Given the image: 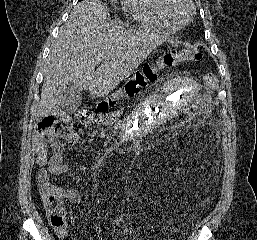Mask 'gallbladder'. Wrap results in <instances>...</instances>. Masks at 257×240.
<instances>
[{
    "label": "gallbladder",
    "instance_id": "gallbladder-1",
    "mask_svg": "<svg viewBox=\"0 0 257 240\" xmlns=\"http://www.w3.org/2000/svg\"><path fill=\"white\" fill-rule=\"evenodd\" d=\"M82 95L75 85L69 82L66 85L63 99L60 104V110L65 113H73L81 105Z\"/></svg>",
    "mask_w": 257,
    "mask_h": 240
}]
</instances>
